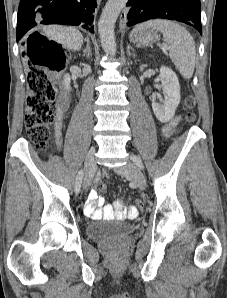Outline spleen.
I'll use <instances>...</instances> for the list:
<instances>
[{
  "mask_svg": "<svg viewBox=\"0 0 227 298\" xmlns=\"http://www.w3.org/2000/svg\"><path fill=\"white\" fill-rule=\"evenodd\" d=\"M146 28L156 29L163 34L164 41L170 47L169 55L172 62L184 78H191L196 61L195 42L192 35L181 25L161 19L140 24L133 32Z\"/></svg>",
  "mask_w": 227,
  "mask_h": 298,
  "instance_id": "1",
  "label": "spleen"
}]
</instances>
